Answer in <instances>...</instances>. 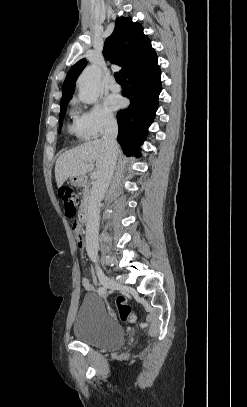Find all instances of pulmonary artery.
<instances>
[{"label": "pulmonary artery", "mask_w": 247, "mask_h": 407, "mask_svg": "<svg viewBox=\"0 0 247 407\" xmlns=\"http://www.w3.org/2000/svg\"><path fill=\"white\" fill-rule=\"evenodd\" d=\"M109 88L114 91V92H118L120 91V86L119 84H117L114 80H110L109 83Z\"/></svg>", "instance_id": "obj_1"}]
</instances>
